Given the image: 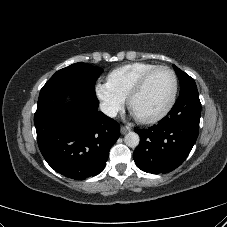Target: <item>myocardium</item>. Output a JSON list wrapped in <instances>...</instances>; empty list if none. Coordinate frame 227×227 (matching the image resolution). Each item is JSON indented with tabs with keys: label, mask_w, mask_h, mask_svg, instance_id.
Listing matches in <instances>:
<instances>
[{
	"label": "myocardium",
	"mask_w": 227,
	"mask_h": 227,
	"mask_svg": "<svg viewBox=\"0 0 227 227\" xmlns=\"http://www.w3.org/2000/svg\"><path fill=\"white\" fill-rule=\"evenodd\" d=\"M165 69L168 70L173 78V88H172V93L169 98V101L165 105V107L159 111L157 114L151 116V117H146V118H141L137 117V119L144 123V124H152L155 122L160 121L162 118H164L172 109V107L175 104L177 94H178V77L174 69L167 65H156L155 67L151 68L147 72H145L134 84V86L131 88L128 96H127V105L129 109L132 110V102L134 98L141 92V90L144 88L145 84L147 83L148 79L158 70Z\"/></svg>",
	"instance_id": "myocardium-1"
}]
</instances>
